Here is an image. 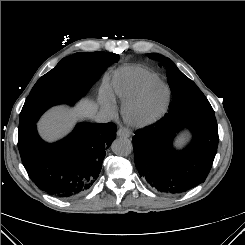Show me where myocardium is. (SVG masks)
<instances>
[{"label": "myocardium", "instance_id": "1", "mask_svg": "<svg viewBox=\"0 0 245 245\" xmlns=\"http://www.w3.org/2000/svg\"><path fill=\"white\" fill-rule=\"evenodd\" d=\"M153 85H161L164 88V100L161 106L152 114L148 116H138L136 114V110L142 103L147 90ZM170 95L171 94L169 86L161 79L157 78L148 81L140 88V90L136 93L135 96H133L131 99H129L123 104L122 115L128 124L137 128H145L150 125H153L158 120H160L162 116L166 113L170 102Z\"/></svg>", "mask_w": 245, "mask_h": 245}]
</instances>
